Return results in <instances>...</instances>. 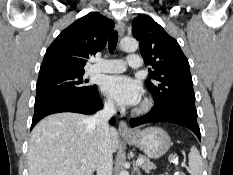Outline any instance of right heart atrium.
Instances as JSON below:
<instances>
[{"instance_id": "right-heart-atrium-1", "label": "right heart atrium", "mask_w": 233, "mask_h": 175, "mask_svg": "<svg viewBox=\"0 0 233 175\" xmlns=\"http://www.w3.org/2000/svg\"><path fill=\"white\" fill-rule=\"evenodd\" d=\"M104 106L106 109L112 110L114 108V103L111 99L107 98L104 100Z\"/></svg>"}]
</instances>
